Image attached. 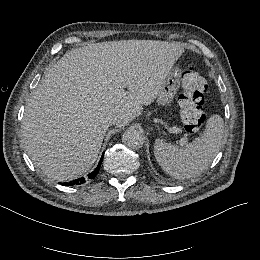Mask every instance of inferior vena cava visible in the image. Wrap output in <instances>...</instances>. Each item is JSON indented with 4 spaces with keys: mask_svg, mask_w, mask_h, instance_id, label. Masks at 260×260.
<instances>
[{
    "mask_svg": "<svg viewBox=\"0 0 260 260\" xmlns=\"http://www.w3.org/2000/svg\"><path fill=\"white\" fill-rule=\"evenodd\" d=\"M117 118L115 116H109L107 119L108 125H114L116 124Z\"/></svg>",
    "mask_w": 260,
    "mask_h": 260,
    "instance_id": "1",
    "label": "inferior vena cava"
}]
</instances>
